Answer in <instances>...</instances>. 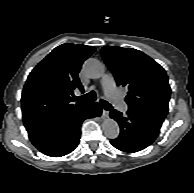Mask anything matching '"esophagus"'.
I'll list each match as a JSON object with an SVG mask.
<instances>
[{
  "label": "esophagus",
  "instance_id": "obj_1",
  "mask_svg": "<svg viewBox=\"0 0 194 193\" xmlns=\"http://www.w3.org/2000/svg\"><path fill=\"white\" fill-rule=\"evenodd\" d=\"M102 115L104 118H107L109 116V111L103 109Z\"/></svg>",
  "mask_w": 194,
  "mask_h": 193
}]
</instances>
